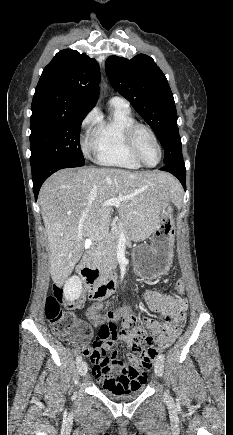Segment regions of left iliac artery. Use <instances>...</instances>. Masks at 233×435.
<instances>
[{"label": "left iliac artery", "mask_w": 233, "mask_h": 435, "mask_svg": "<svg viewBox=\"0 0 233 435\" xmlns=\"http://www.w3.org/2000/svg\"><path fill=\"white\" fill-rule=\"evenodd\" d=\"M158 358H159V360H161V361H164V360H165V357H164V355H162V354H161V355H159V357H158Z\"/></svg>", "instance_id": "44dca946"}]
</instances>
